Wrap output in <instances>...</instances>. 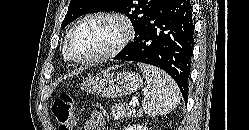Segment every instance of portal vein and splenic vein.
<instances>
[{"label":"portal vein and splenic vein","mask_w":249,"mask_h":130,"mask_svg":"<svg viewBox=\"0 0 249 130\" xmlns=\"http://www.w3.org/2000/svg\"><path fill=\"white\" fill-rule=\"evenodd\" d=\"M129 105L131 107H136V102L132 100V101L129 102Z\"/></svg>","instance_id":"1"}]
</instances>
